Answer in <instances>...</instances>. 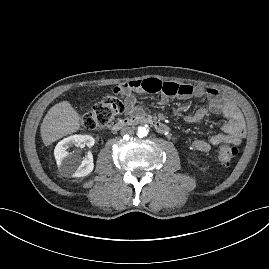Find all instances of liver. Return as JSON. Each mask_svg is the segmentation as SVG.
Listing matches in <instances>:
<instances>
[{"label": "liver", "instance_id": "6515ba94", "mask_svg": "<svg viewBox=\"0 0 269 269\" xmlns=\"http://www.w3.org/2000/svg\"><path fill=\"white\" fill-rule=\"evenodd\" d=\"M80 115L69 101H62L49 109L40 127L43 143L48 146L56 140L80 129Z\"/></svg>", "mask_w": 269, "mask_h": 269}]
</instances>
